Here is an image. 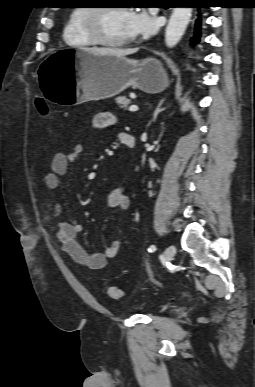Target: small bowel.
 I'll use <instances>...</instances> for the list:
<instances>
[{"label":"small bowel","instance_id":"small-bowel-1","mask_svg":"<svg viewBox=\"0 0 255 387\" xmlns=\"http://www.w3.org/2000/svg\"><path fill=\"white\" fill-rule=\"evenodd\" d=\"M117 118L111 113L97 114L93 119L96 128L103 129L114 125ZM84 151L82 144H76L71 152H58L51 160L50 171L44 176L46 187L53 192H58L60 188L59 177L65 175L70 163L75 161ZM107 204L111 208L127 209L130 200L126 195L122 185L113 187L107 194ZM63 205L56 198L53 202V213L55 217L54 230L59 240L62 251L77 264L92 269L100 270L106 267L108 260L115 257L121 247V240L115 239L105 249L104 252L89 253L77 241V237L82 233L83 226L74 219H63Z\"/></svg>","mask_w":255,"mask_h":387}]
</instances>
